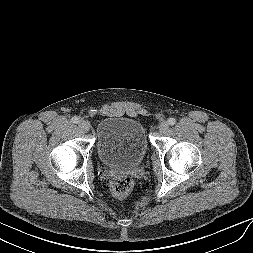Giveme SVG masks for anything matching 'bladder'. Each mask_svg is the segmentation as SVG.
Returning a JSON list of instances; mask_svg holds the SVG:
<instances>
[{"label":"bladder","mask_w":253,"mask_h":253,"mask_svg":"<svg viewBox=\"0 0 253 253\" xmlns=\"http://www.w3.org/2000/svg\"><path fill=\"white\" fill-rule=\"evenodd\" d=\"M148 150L142 123L126 117H105L96 126V151L108 167L139 165Z\"/></svg>","instance_id":"31cf9c89"}]
</instances>
